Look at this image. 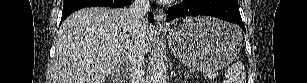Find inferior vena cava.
<instances>
[{"label":"inferior vena cava","instance_id":"1","mask_svg":"<svg viewBox=\"0 0 307 83\" xmlns=\"http://www.w3.org/2000/svg\"><path fill=\"white\" fill-rule=\"evenodd\" d=\"M150 8L149 0H134L128 9L131 19V38L127 49V60L130 65V77L132 83H143L145 69L142 37L148 23L146 14Z\"/></svg>","mask_w":307,"mask_h":83}]
</instances>
